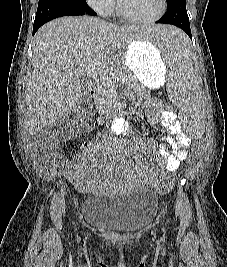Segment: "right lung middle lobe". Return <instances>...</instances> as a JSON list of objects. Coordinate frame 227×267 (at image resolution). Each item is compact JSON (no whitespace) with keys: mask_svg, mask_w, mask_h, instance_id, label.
Here are the masks:
<instances>
[{"mask_svg":"<svg viewBox=\"0 0 227 267\" xmlns=\"http://www.w3.org/2000/svg\"><path fill=\"white\" fill-rule=\"evenodd\" d=\"M40 1H55V2H67V3H81V2H85V0H39Z\"/></svg>","mask_w":227,"mask_h":267,"instance_id":"dd1d6c3e","label":"right lung middle lobe"}]
</instances>
